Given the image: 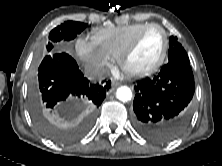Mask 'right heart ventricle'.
<instances>
[{
  "label": "right heart ventricle",
  "mask_w": 222,
  "mask_h": 166,
  "mask_svg": "<svg viewBox=\"0 0 222 166\" xmlns=\"http://www.w3.org/2000/svg\"><path fill=\"white\" fill-rule=\"evenodd\" d=\"M149 23H134L120 27L96 29L92 32V42L107 56H118L133 37Z\"/></svg>",
  "instance_id": "obj_1"
}]
</instances>
